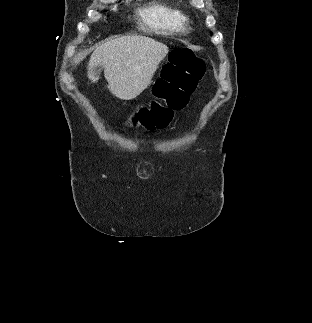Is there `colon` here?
I'll list each match as a JSON object with an SVG mask.
<instances>
[{"instance_id":"obj_1","label":"colon","mask_w":312,"mask_h":323,"mask_svg":"<svg viewBox=\"0 0 312 323\" xmlns=\"http://www.w3.org/2000/svg\"><path fill=\"white\" fill-rule=\"evenodd\" d=\"M205 72L203 60L191 49L177 48L172 51L163 78L156 80V94L165 104L152 100L137 109L139 125L144 129L162 130L173 121L172 110L181 109L188 95L193 92L195 80Z\"/></svg>"}]
</instances>
